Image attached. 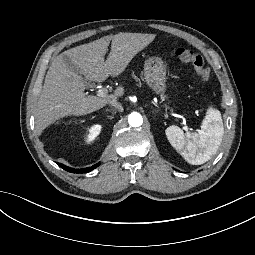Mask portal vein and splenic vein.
I'll return each instance as SVG.
<instances>
[{"instance_id": "portal-vein-and-splenic-vein-1", "label": "portal vein and splenic vein", "mask_w": 255, "mask_h": 255, "mask_svg": "<svg viewBox=\"0 0 255 255\" xmlns=\"http://www.w3.org/2000/svg\"><path fill=\"white\" fill-rule=\"evenodd\" d=\"M107 94V91L104 89V88H99L97 91H96V96L97 97H105ZM183 124L185 125V131H189V127L186 125V122L184 121Z\"/></svg>"}]
</instances>
